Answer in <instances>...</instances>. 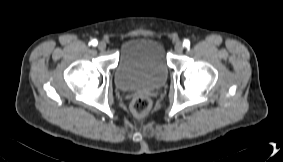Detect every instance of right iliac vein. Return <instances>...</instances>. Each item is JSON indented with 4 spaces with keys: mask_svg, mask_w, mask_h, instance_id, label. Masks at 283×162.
Here are the masks:
<instances>
[{
    "mask_svg": "<svg viewBox=\"0 0 283 162\" xmlns=\"http://www.w3.org/2000/svg\"><path fill=\"white\" fill-rule=\"evenodd\" d=\"M98 49L101 50V51L105 50L106 49V43L103 42V41L99 42Z\"/></svg>",
    "mask_w": 283,
    "mask_h": 162,
    "instance_id": "right-iliac-vein-1",
    "label": "right iliac vein"
}]
</instances>
